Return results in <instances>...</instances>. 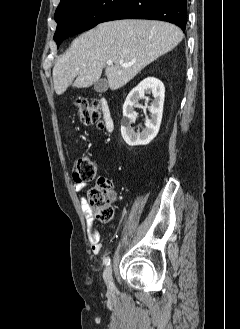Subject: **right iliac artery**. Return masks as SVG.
Instances as JSON below:
<instances>
[{
  "mask_svg": "<svg viewBox=\"0 0 240 329\" xmlns=\"http://www.w3.org/2000/svg\"><path fill=\"white\" fill-rule=\"evenodd\" d=\"M104 264L106 266H108L110 264V258L109 257H106L104 260H103Z\"/></svg>",
  "mask_w": 240,
  "mask_h": 329,
  "instance_id": "obj_1",
  "label": "right iliac artery"
}]
</instances>
